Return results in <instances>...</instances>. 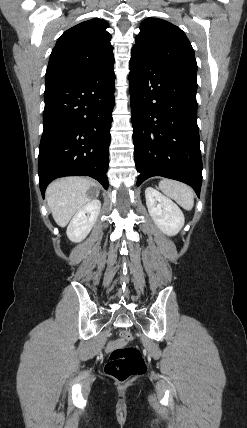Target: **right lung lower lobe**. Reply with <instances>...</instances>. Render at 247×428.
Instances as JSON below:
<instances>
[{"instance_id": "98d812e1", "label": "right lung lower lobe", "mask_w": 247, "mask_h": 428, "mask_svg": "<svg viewBox=\"0 0 247 428\" xmlns=\"http://www.w3.org/2000/svg\"><path fill=\"white\" fill-rule=\"evenodd\" d=\"M114 59L80 78L45 86L39 146L41 193L63 176H90L108 188Z\"/></svg>"}]
</instances>
